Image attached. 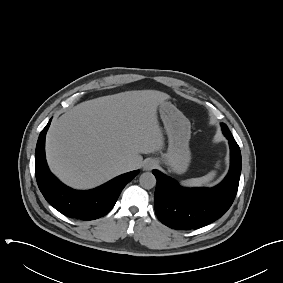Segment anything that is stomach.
Segmentation results:
<instances>
[{"label":"stomach","mask_w":283,"mask_h":283,"mask_svg":"<svg viewBox=\"0 0 283 283\" xmlns=\"http://www.w3.org/2000/svg\"><path fill=\"white\" fill-rule=\"evenodd\" d=\"M161 120L168 136V149L161 160L171 171L184 173L191 160L189 141L191 125L189 120L173 104L162 102L159 106Z\"/></svg>","instance_id":"0dacf381"}]
</instances>
